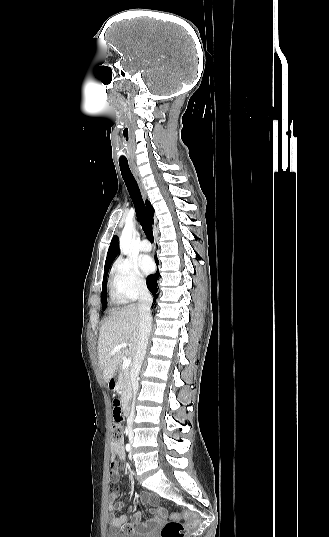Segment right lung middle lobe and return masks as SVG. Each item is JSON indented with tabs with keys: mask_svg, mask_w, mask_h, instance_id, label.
Returning a JSON list of instances; mask_svg holds the SVG:
<instances>
[{
	"mask_svg": "<svg viewBox=\"0 0 329 537\" xmlns=\"http://www.w3.org/2000/svg\"><path fill=\"white\" fill-rule=\"evenodd\" d=\"M109 268L104 269V277L102 282V307L105 309L107 306V274H108Z\"/></svg>",
	"mask_w": 329,
	"mask_h": 537,
	"instance_id": "obj_1",
	"label": "right lung middle lobe"
}]
</instances>
